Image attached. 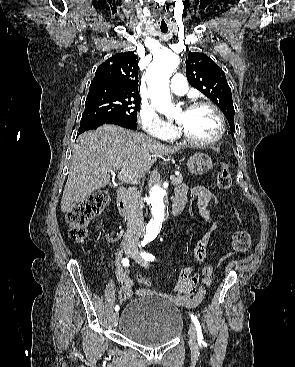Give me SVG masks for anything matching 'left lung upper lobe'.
I'll return each instance as SVG.
<instances>
[{"label": "left lung upper lobe", "instance_id": "1", "mask_svg": "<svg viewBox=\"0 0 295 367\" xmlns=\"http://www.w3.org/2000/svg\"><path fill=\"white\" fill-rule=\"evenodd\" d=\"M186 76L194 88L211 99L226 116L231 132L235 133L234 106L231 89L225 73L214 61L203 53H189Z\"/></svg>", "mask_w": 295, "mask_h": 367}]
</instances>
